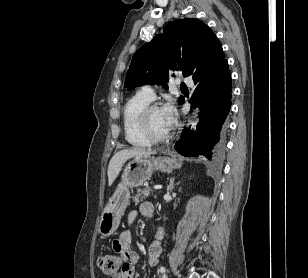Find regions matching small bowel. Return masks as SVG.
I'll return each instance as SVG.
<instances>
[{"instance_id":"obj_1","label":"small bowel","mask_w":308,"mask_h":278,"mask_svg":"<svg viewBox=\"0 0 308 278\" xmlns=\"http://www.w3.org/2000/svg\"><path fill=\"white\" fill-rule=\"evenodd\" d=\"M139 212L145 217H152L155 214L154 206L145 202L139 207ZM137 216V211H131L128 215V222L132 223ZM164 231L162 228H158L155 240L150 244L148 249V262L150 266H156L161 254V240L163 239ZM113 250L119 254L124 264L122 269L111 278H135V264L139 257L132 248V234L129 230L123 231L118 239L113 242Z\"/></svg>"}]
</instances>
